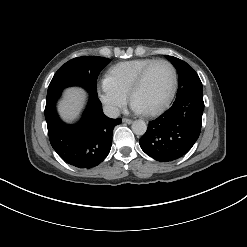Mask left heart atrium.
<instances>
[{"label":"left heart atrium","mask_w":247,"mask_h":247,"mask_svg":"<svg viewBox=\"0 0 247 247\" xmlns=\"http://www.w3.org/2000/svg\"><path fill=\"white\" fill-rule=\"evenodd\" d=\"M131 107H132V110L136 113H144V110L133 101H132Z\"/></svg>","instance_id":"39dd6f15"}]
</instances>
